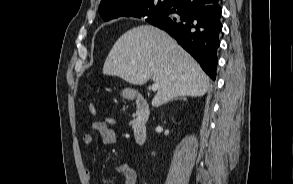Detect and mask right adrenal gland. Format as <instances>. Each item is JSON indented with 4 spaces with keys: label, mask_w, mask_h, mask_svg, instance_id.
Wrapping results in <instances>:
<instances>
[{
    "label": "right adrenal gland",
    "mask_w": 293,
    "mask_h": 184,
    "mask_svg": "<svg viewBox=\"0 0 293 184\" xmlns=\"http://www.w3.org/2000/svg\"><path fill=\"white\" fill-rule=\"evenodd\" d=\"M176 99H181V100H186V97H180V98H176Z\"/></svg>",
    "instance_id": "obj_1"
}]
</instances>
